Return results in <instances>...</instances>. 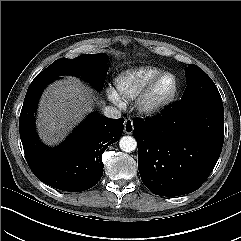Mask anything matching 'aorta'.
I'll return each mask as SVG.
<instances>
[{
  "label": "aorta",
  "instance_id": "1",
  "mask_svg": "<svg viewBox=\"0 0 241 241\" xmlns=\"http://www.w3.org/2000/svg\"><path fill=\"white\" fill-rule=\"evenodd\" d=\"M120 149L124 152H132L137 147V142L132 136H123L119 141Z\"/></svg>",
  "mask_w": 241,
  "mask_h": 241
}]
</instances>
